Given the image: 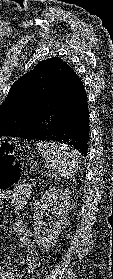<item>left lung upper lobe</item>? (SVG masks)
Wrapping results in <instances>:
<instances>
[{"label": "left lung upper lobe", "mask_w": 113, "mask_h": 279, "mask_svg": "<svg viewBox=\"0 0 113 279\" xmlns=\"http://www.w3.org/2000/svg\"><path fill=\"white\" fill-rule=\"evenodd\" d=\"M67 63L59 57L39 62L11 87L0 107V135L19 137L33 115L35 107L50 93Z\"/></svg>", "instance_id": "obj_1"}]
</instances>
